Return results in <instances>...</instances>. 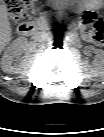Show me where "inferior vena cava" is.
Returning a JSON list of instances; mask_svg holds the SVG:
<instances>
[{
	"label": "inferior vena cava",
	"instance_id": "inferior-vena-cava-1",
	"mask_svg": "<svg viewBox=\"0 0 104 137\" xmlns=\"http://www.w3.org/2000/svg\"><path fill=\"white\" fill-rule=\"evenodd\" d=\"M46 37H47L46 33L42 31H37L33 35L34 40H37V41L44 40Z\"/></svg>",
	"mask_w": 104,
	"mask_h": 137
}]
</instances>
